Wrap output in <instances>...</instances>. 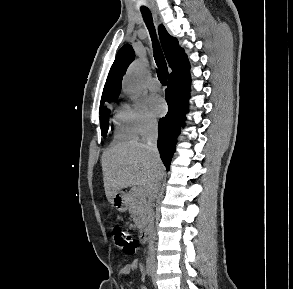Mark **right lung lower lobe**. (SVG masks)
Here are the masks:
<instances>
[{"label": "right lung lower lobe", "mask_w": 293, "mask_h": 289, "mask_svg": "<svg viewBox=\"0 0 293 289\" xmlns=\"http://www.w3.org/2000/svg\"><path fill=\"white\" fill-rule=\"evenodd\" d=\"M190 92V77L169 78L165 90L168 113L159 120L158 149L161 159L169 170L171 159L175 151L176 137L180 134V127L184 126L185 113L188 111Z\"/></svg>", "instance_id": "98d812e1"}]
</instances>
